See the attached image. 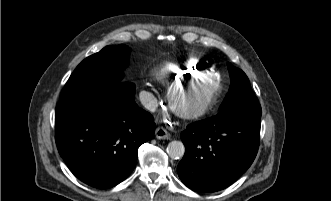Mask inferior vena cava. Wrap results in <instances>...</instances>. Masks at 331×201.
<instances>
[{"instance_id": "1", "label": "inferior vena cava", "mask_w": 331, "mask_h": 201, "mask_svg": "<svg viewBox=\"0 0 331 201\" xmlns=\"http://www.w3.org/2000/svg\"><path fill=\"white\" fill-rule=\"evenodd\" d=\"M140 101L142 105L151 112H154L158 106L157 99L149 92H141Z\"/></svg>"}]
</instances>
